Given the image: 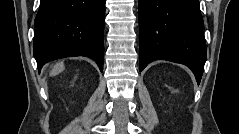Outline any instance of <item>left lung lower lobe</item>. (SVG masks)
I'll return each mask as SVG.
<instances>
[{"label":"left lung lower lobe","mask_w":239,"mask_h":134,"mask_svg":"<svg viewBox=\"0 0 239 134\" xmlns=\"http://www.w3.org/2000/svg\"><path fill=\"white\" fill-rule=\"evenodd\" d=\"M140 71L154 60L188 66L200 83L206 62L199 0H139Z\"/></svg>","instance_id":"0a47b994"}]
</instances>
